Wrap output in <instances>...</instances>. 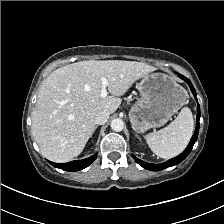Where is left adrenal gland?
<instances>
[{
  "instance_id": "a2214340",
  "label": "left adrenal gland",
  "mask_w": 224,
  "mask_h": 224,
  "mask_svg": "<svg viewBox=\"0 0 224 224\" xmlns=\"http://www.w3.org/2000/svg\"><path fill=\"white\" fill-rule=\"evenodd\" d=\"M135 136L138 137V138L140 139V137H139L137 134H135Z\"/></svg>"
}]
</instances>
